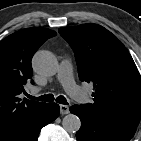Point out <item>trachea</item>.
<instances>
[{
  "label": "trachea",
  "instance_id": "obj_1",
  "mask_svg": "<svg viewBox=\"0 0 141 141\" xmlns=\"http://www.w3.org/2000/svg\"><path fill=\"white\" fill-rule=\"evenodd\" d=\"M27 97L32 100H39V101H46V102H51V101L56 100L57 103L64 104V105L68 104L66 98L62 95L58 96L57 98H54V95L52 94L42 95L40 97H34L31 95H27Z\"/></svg>",
  "mask_w": 141,
  "mask_h": 141
}]
</instances>
